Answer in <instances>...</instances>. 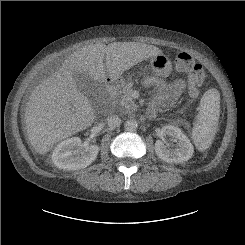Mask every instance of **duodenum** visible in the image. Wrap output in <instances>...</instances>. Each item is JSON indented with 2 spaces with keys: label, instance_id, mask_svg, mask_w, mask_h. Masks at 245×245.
Masks as SVG:
<instances>
[{
  "label": "duodenum",
  "instance_id": "1",
  "mask_svg": "<svg viewBox=\"0 0 245 245\" xmlns=\"http://www.w3.org/2000/svg\"><path fill=\"white\" fill-rule=\"evenodd\" d=\"M105 85L107 87L109 93V107L107 110V114L113 115L115 113V99L116 93L120 86L122 85V80L120 78H107L105 80Z\"/></svg>",
  "mask_w": 245,
  "mask_h": 245
}]
</instances>
